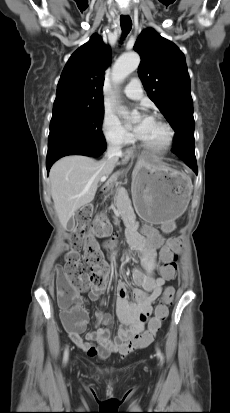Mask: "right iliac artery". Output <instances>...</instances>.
<instances>
[{
    "label": "right iliac artery",
    "instance_id": "right-iliac-artery-1",
    "mask_svg": "<svg viewBox=\"0 0 230 413\" xmlns=\"http://www.w3.org/2000/svg\"><path fill=\"white\" fill-rule=\"evenodd\" d=\"M67 359H68V350L66 349L64 353V361L66 362Z\"/></svg>",
    "mask_w": 230,
    "mask_h": 413
}]
</instances>
